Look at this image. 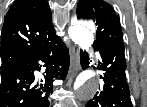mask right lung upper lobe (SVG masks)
I'll use <instances>...</instances> for the list:
<instances>
[{
  "label": "right lung upper lobe",
  "instance_id": "obj_1",
  "mask_svg": "<svg viewBox=\"0 0 147 107\" xmlns=\"http://www.w3.org/2000/svg\"><path fill=\"white\" fill-rule=\"evenodd\" d=\"M55 37L46 0H15L1 32V69L22 61L34 49Z\"/></svg>",
  "mask_w": 147,
  "mask_h": 107
}]
</instances>
